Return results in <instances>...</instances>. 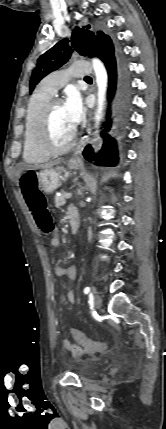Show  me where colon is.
Segmentation results:
<instances>
[{"mask_svg": "<svg viewBox=\"0 0 166 429\" xmlns=\"http://www.w3.org/2000/svg\"><path fill=\"white\" fill-rule=\"evenodd\" d=\"M23 197L32 212L39 229L45 233H50L53 228V221L47 207V201L38 187L37 173L29 169L25 171L20 179ZM70 334L76 343L88 352H103L107 349L104 342L88 338L78 330L70 329Z\"/></svg>", "mask_w": 166, "mask_h": 429, "instance_id": "1", "label": "colon"}]
</instances>
